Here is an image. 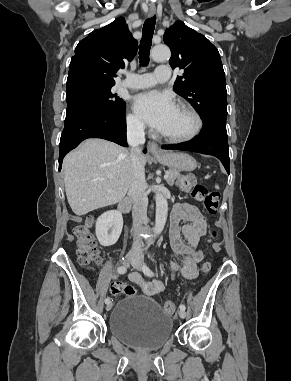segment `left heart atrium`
I'll return each instance as SVG.
<instances>
[{
	"label": "left heart atrium",
	"mask_w": 291,
	"mask_h": 381,
	"mask_svg": "<svg viewBox=\"0 0 291 381\" xmlns=\"http://www.w3.org/2000/svg\"><path fill=\"white\" fill-rule=\"evenodd\" d=\"M133 105L138 115L160 132L165 129L177 107L170 95L158 91L137 95Z\"/></svg>",
	"instance_id": "left-heart-atrium-1"
}]
</instances>
